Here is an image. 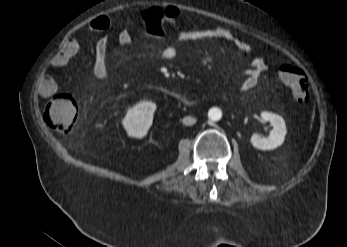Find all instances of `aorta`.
Listing matches in <instances>:
<instances>
[{
	"label": "aorta",
	"mask_w": 347,
	"mask_h": 247,
	"mask_svg": "<svg viewBox=\"0 0 347 247\" xmlns=\"http://www.w3.org/2000/svg\"><path fill=\"white\" fill-rule=\"evenodd\" d=\"M210 122H216L221 119L222 112L219 108H211L208 112Z\"/></svg>",
	"instance_id": "obj_1"
}]
</instances>
